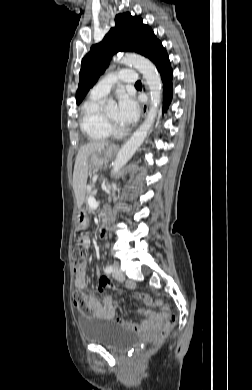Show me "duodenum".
Wrapping results in <instances>:
<instances>
[{
	"instance_id": "1",
	"label": "duodenum",
	"mask_w": 252,
	"mask_h": 390,
	"mask_svg": "<svg viewBox=\"0 0 252 390\" xmlns=\"http://www.w3.org/2000/svg\"><path fill=\"white\" fill-rule=\"evenodd\" d=\"M101 223H102V229L101 232L99 233V236L103 238L107 230L109 228V210L108 208H103L101 211Z\"/></svg>"
}]
</instances>
